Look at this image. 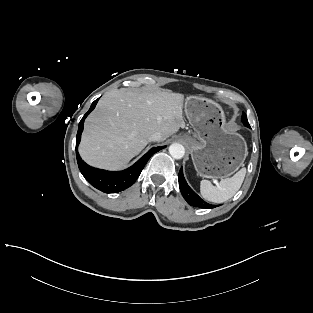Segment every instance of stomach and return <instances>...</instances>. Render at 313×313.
<instances>
[{"label": "stomach", "mask_w": 313, "mask_h": 313, "mask_svg": "<svg viewBox=\"0 0 313 313\" xmlns=\"http://www.w3.org/2000/svg\"><path fill=\"white\" fill-rule=\"evenodd\" d=\"M193 136L183 135L197 174L203 178H225L236 172L248 154L247 144L229 129L216 102L191 96L184 105Z\"/></svg>", "instance_id": "obj_1"}]
</instances>
